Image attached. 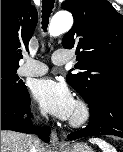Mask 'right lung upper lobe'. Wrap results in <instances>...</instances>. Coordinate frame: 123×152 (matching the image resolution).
<instances>
[{
	"mask_svg": "<svg viewBox=\"0 0 123 152\" xmlns=\"http://www.w3.org/2000/svg\"><path fill=\"white\" fill-rule=\"evenodd\" d=\"M37 24L30 0H1V67L17 68Z\"/></svg>",
	"mask_w": 123,
	"mask_h": 152,
	"instance_id": "1",
	"label": "right lung upper lobe"
}]
</instances>
